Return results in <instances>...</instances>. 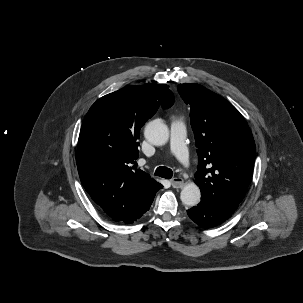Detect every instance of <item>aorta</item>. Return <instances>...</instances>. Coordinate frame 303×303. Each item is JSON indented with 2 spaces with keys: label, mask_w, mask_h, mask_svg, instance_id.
I'll list each match as a JSON object with an SVG mask.
<instances>
[{
  "label": "aorta",
  "mask_w": 303,
  "mask_h": 303,
  "mask_svg": "<svg viewBox=\"0 0 303 303\" xmlns=\"http://www.w3.org/2000/svg\"><path fill=\"white\" fill-rule=\"evenodd\" d=\"M145 138L156 146H162L169 139L168 127L160 120L149 122L144 130ZM201 192L194 183L186 184L181 191L180 199L187 206H195L200 202Z\"/></svg>",
  "instance_id": "obj_1"
}]
</instances>
